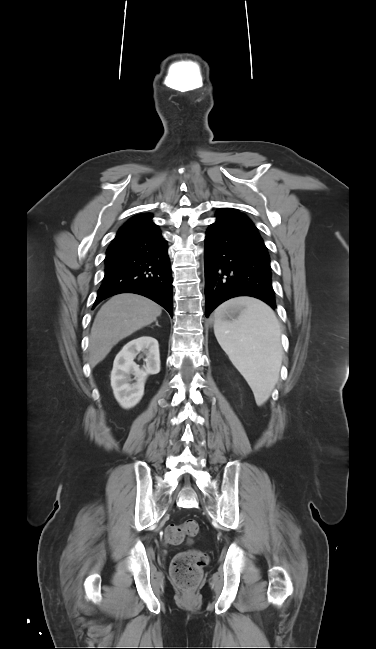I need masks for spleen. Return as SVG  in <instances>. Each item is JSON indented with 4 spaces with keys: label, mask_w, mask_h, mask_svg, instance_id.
<instances>
[{
    "label": "spleen",
    "mask_w": 376,
    "mask_h": 649,
    "mask_svg": "<svg viewBox=\"0 0 376 649\" xmlns=\"http://www.w3.org/2000/svg\"><path fill=\"white\" fill-rule=\"evenodd\" d=\"M244 310L237 319L224 321L231 306ZM214 333L222 349L251 387L258 406L269 398L282 364L280 325L273 310L253 297L230 300L215 311Z\"/></svg>",
    "instance_id": "spleen-1"
}]
</instances>
